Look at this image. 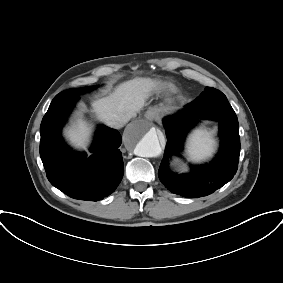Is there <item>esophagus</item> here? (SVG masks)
<instances>
[{
	"instance_id": "esophagus-1",
	"label": "esophagus",
	"mask_w": 283,
	"mask_h": 283,
	"mask_svg": "<svg viewBox=\"0 0 283 283\" xmlns=\"http://www.w3.org/2000/svg\"><path fill=\"white\" fill-rule=\"evenodd\" d=\"M145 117L150 120V121H153L155 118H156V113L153 111V110H148L146 113H145Z\"/></svg>"
}]
</instances>
